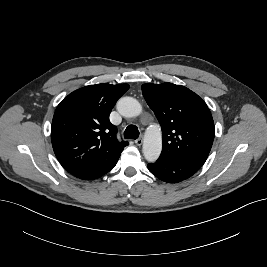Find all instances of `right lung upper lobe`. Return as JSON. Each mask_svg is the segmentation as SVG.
Masks as SVG:
<instances>
[{
    "mask_svg": "<svg viewBox=\"0 0 267 267\" xmlns=\"http://www.w3.org/2000/svg\"><path fill=\"white\" fill-rule=\"evenodd\" d=\"M127 84H97L75 90L58 105L51 141L61 165L72 175L95 179L110 171L127 141L119 142L109 115Z\"/></svg>",
    "mask_w": 267,
    "mask_h": 267,
    "instance_id": "obj_1",
    "label": "right lung upper lobe"
}]
</instances>
